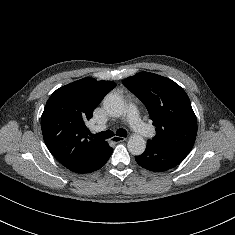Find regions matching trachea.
Returning <instances> with one entry per match:
<instances>
[{"label": "trachea", "mask_w": 235, "mask_h": 235, "mask_svg": "<svg viewBox=\"0 0 235 235\" xmlns=\"http://www.w3.org/2000/svg\"><path fill=\"white\" fill-rule=\"evenodd\" d=\"M116 135L121 137H127V131L124 129H118ZM91 136L98 140H105L114 136V133L110 130H107L97 134H91Z\"/></svg>", "instance_id": "1"}]
</instances>
